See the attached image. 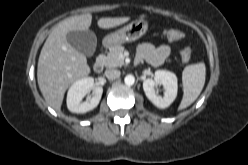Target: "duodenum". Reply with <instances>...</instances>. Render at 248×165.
Returning <instances> with one entry per match:
<instances>
[{
  "label": "duodenum",
  "mask_w": 248,
  "mask_h": 165,
  "mask_svg": "<svg viewBox=\"0 0 248 165\" xmlns=\"http://www.w3.org/2000/svg\"><path fill=\"white\" fill-rule=\"evenodd\" d=\"M141 60H142L141 58H138V61H141ZM104 67H105V60L103 56H99L93 64V69L95 73L99 74L103 72Z\"/></svg>",
  "instance_id": "410a0bca"
}]
</instances>
